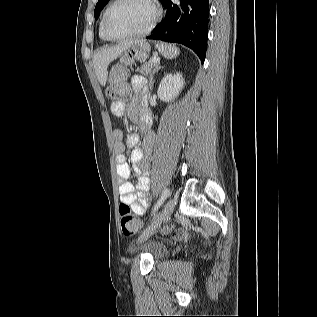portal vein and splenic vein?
Listing matches in <instances>:
<instances>
[{"label": "portal vein and splenic vein", "instance_id": "portal-vein-and-splenic-vein-1", "mask_svg": "<svg viewBox=\"0 0 317 317\" xmlns=\"http://www.w3.org/2000/svg\"><path fill=\"white\" fill-rule=\"evenodd\" d=\"M151 62H153L154 64H157L160 62V59L158 57H154L152 58Z\"/></svg>", "mask_w": 317, "mask_h": 317}]
</instances>
